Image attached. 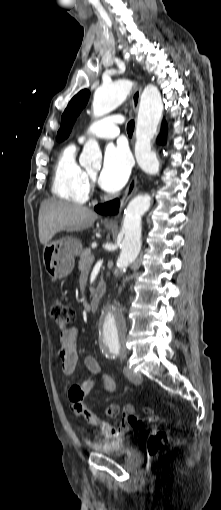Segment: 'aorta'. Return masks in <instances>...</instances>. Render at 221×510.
Returning <instances> with one entry per match:
<instances>
[{"label": "aorta", "mask_w": 221, "mask_h": 510, "mask_svg": "<svg viewBox=\"0 0 221 510\" xmlns=\"http://www.w3.org/2000/svg\"><path fill=\"white\" fill-rule=\"evenodd\" d=\"M133 81L122 79L104 84L94 93L92 111L95 117H101L116 109L129 95ZM163 112V103L159 90L147 85L140 99L136 125L135 156L139 167L147 174L159 172V161L151 149V139L157 132ZM101 151L95 140H89L83 148L80 163L83 166L97 167L101 162ZM151 206L148 194L135 196L128 204L123 219L121 252L116 266L121 272L135 261L141 250V220ZM117 274V270L115 271ZM125 322L118 307L104 303L100 311L99 341L104 350L121 348L124 343Z\"/></svg>", "instance_id": "1"}]
</instances>
